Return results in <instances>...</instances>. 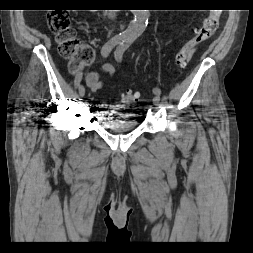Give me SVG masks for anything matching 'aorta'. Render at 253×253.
Returning <instances> with one entry per match:
<instances>
[{"label":"aorta","instance_id":"762f6f07","mask_svg":"<svg viewBox=\"0 0 253 253\" xmlns=\"http://www.w3.org/2000/svg\"><path fill=\"white\" fill-rule=\"evenodd\" d=\"M133 15L134 19L123 32V37L131 40H135L144 32L150 13L149 10H133Z\"/></svg>","mask_w":253,"mask_h":253}]
</instances>
